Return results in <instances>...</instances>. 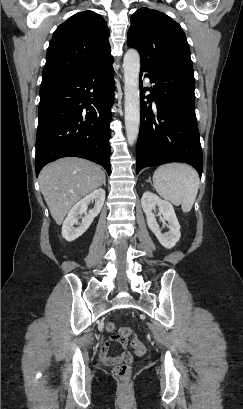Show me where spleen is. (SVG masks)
<instances>
[{"label": "spleen", "mask_w": 243, "mask_h": 409, "mask_svg": "<svg viewBox=\"0 0 243 409\" xmlns=\"http://www.w3.org/2000/svg\"><path fill=\"white\" fill-rule=\"evenodd\" d=\"M157 193L174 205H181L183 212H189L195 202L199 177L190 166L171 163L160 166L153 174Z\"/></svg>", "instance_id": "obj_1"}]
</instances>
